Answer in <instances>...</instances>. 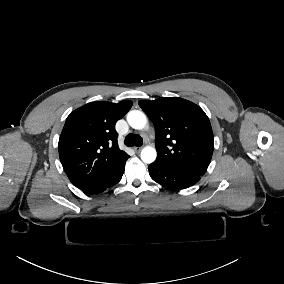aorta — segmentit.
<instances>
[{
	"instance_id": "obj_1",
	"label": "aorta",
	"mask_w": 284,
	"mask_h": 284,
	"mask_svg": "<svg viewBox=\"0 0 284 284\" xmlns=\"http://www.w3.org/2000/svg\"><path fill=\"white\" fill-rule=\"evenodd\" d=\"M127 122L132 128L142 130L147 126V117L139 110H132L127 114ZM156 157V149L152 146H145L141 151V160L144 163L150 164L155 161Z\"/></svg>"
}]
</instances>
